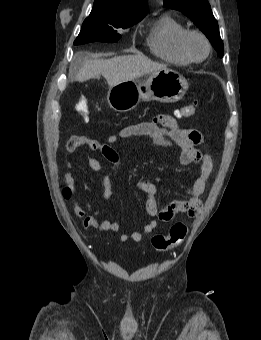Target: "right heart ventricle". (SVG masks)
I'll return each mask as SVG.
<instances>
[{
  "label": "right heart ventricle",
  "mask_w": 261,
  "mask_h": 340,
  "mask_svg": "<svg viewBox=\"0 0 261 340\" xmlns=\"http://www.w3.org/2000/svg\"><path fill=\"white\" fill-rule=\"evenodd\" d=\"M187 30L185 25L170 13L162 14L152 25L147 46L150 52L170 64L186 66L191 61L182 53L179 41Z\"/></svg>",
  "instance_id": "1"
}]
</instances>
